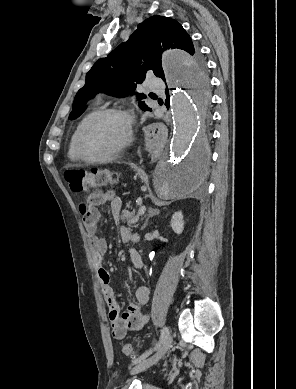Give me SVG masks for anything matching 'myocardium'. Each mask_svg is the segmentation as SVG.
<instances>
[{
  "label": "myocardium",
  "mask_w": 296,
  "mask_h": 389,
  "mask_svg": "<svg viewBox=\"0 0 296 389\" xmlns=\"http://www.w3.org/2000/svg\"><path fill=\"white\" fill-rule=\"evenodd\" d=\"M107 115H118L125 119L126 121V136L124 140L113 150L110 152L99 156V157H89L85 154L83 148V139L87 129L98 119L107 116ZM134 122L132 116L124 109L117 107H108L97 110L93 113L89 118L85 120V122L81 125L78 130L77 138H76V152L78 157L88 163H99L110 160L112 158L120 155L124 150H126L133 141L134 137Z\"/></svg>",
  "instance_id": "f54148a6"
}]
</instances>
